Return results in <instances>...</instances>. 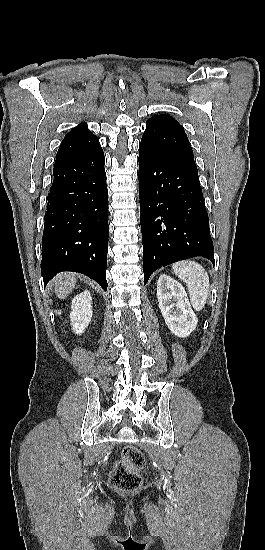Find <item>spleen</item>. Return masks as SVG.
Here are the masks:
<instances>
[{
  "instance_id": "obj_1",
  "label": "spleen",
  "mask_w": 265,
  "mask_h": 550,
  "mask_svg": "<svg viewBox=\"0 0 265 550\" xmlns=\"http://www.w3.org/2000/svg\"><path fill=\"white\" fill-rule=\"evenodd\" d=\"M174 273L186 283L193 308L201 311L207 301L210 282L206 270L194 261H180L172 266Z\"/></svg>"
}]
</instances>
